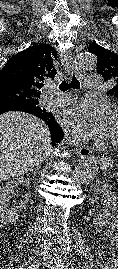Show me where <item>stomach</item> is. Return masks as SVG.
Wrapping results in <instances>:
<instances>
[{"instance_id":"stomach-1","label":"stomach","mask_w":118,"mask_h":269,"mask_svg":"<svg viewBox=\"0 0 118 269\" xmlns=\"http://www.w3.org/2000/svg\"><path fill=\"white\" fill-rule=\"evenodd\" d=\"M100 167L102 170H108L113 167V160L111 158L105 157L102 159Z\"/></svg>"}]
</instances>
